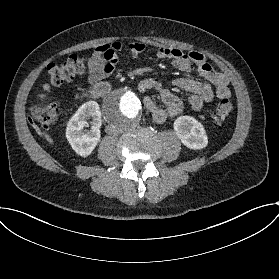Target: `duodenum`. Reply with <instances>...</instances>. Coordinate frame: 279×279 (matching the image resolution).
<instances>
[{"mask_svg": "<svg viewBox=\"0 0 279 279\" xmlns=\"http://www.w3.org/2000/svg\"><path fill=\"white\" fill-rule=\"evenodd\" d=\"M111 86L109 83L101 82L94 85L90 91V94L93 98H98L102 95L109 93Z\"/></svg>", "mask_w": 279, "mask_h": 279, "instance_id": "410a0bca", "label": "duodenum"}]
</instances>
